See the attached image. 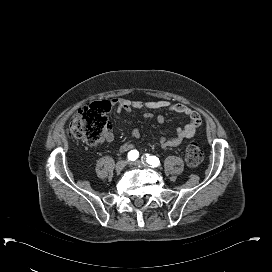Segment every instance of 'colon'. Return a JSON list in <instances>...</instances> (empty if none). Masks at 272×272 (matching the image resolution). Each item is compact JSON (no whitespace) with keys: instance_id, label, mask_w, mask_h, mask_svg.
Wrapping results in <instances>:
<instances>
[{"instance_id":"obj_1","label":"colon","mask_w":272,"mask_h":272,"mask_svg":"<svg viewBox=\"0 0 272 272\" xmlns=\"http://www.w3.org/2000/svg\"><path fill=\"white\" fill-rule=\"evenodd\" d=\"M110 108V102L103 100L76 111L66 130L68 137L82 139L89 145L98 144L110 126ZM185 159L192 167L202 162L203 154L197 142L192 141L187 145Z\"/></svg>"}]
</instances>
